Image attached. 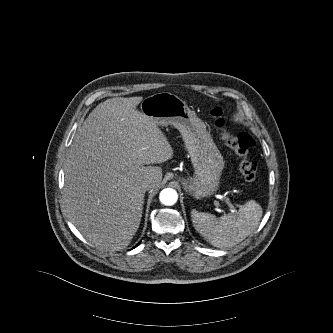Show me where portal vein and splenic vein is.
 Wrapping results in <instances>:
<instances>
[{"label": "portal vein and splenic vein", "instance_id": "portal-vein-and-splenic-vein-1", "mask_svg": "<svg viewBox=\"0 0 333 333\" xmlns=\"http://www.w3.org/2000/svg\"><path fill=\"white\" fill-rule=\"evenodd\" d=\"M223 200L226 202L227 205H229L231 208H233V206L231 205V203L227 197H223ZM215 205L218 207L219 203H215Z\"/></svg>", "mask_w": 333, "mask_h": 333}]
</instances>
